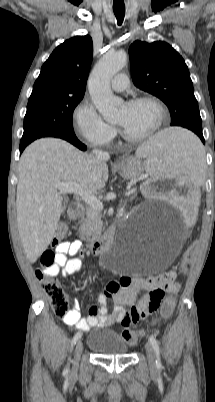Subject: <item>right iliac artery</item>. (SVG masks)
Listing matches in <instances>:
<instances>
[{
  "mask_svg": "<svg viewBox=\"0 0 215 402\" xmlns=\"http://www.w3.org/2000/svg\"><path fill=\"white\" fill-rule=\"evenodd\" d=\"M81 336H82L81 332H77L72 339L71 345L73 346L74 344H76V342L81 338ZM68 372H69V368L66 367L63 373H64V375H68Z\"/></svg>",
  "mask_w": 215,
  "mask_h": 402,
  "instance_id": "right-iliac-artery-1",
  "label": "right iliac artery"
}]
</instances>
